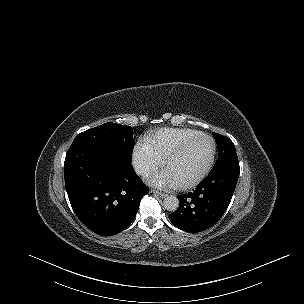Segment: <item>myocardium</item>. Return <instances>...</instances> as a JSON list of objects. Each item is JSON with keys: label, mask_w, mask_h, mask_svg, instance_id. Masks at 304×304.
<instances>
[{"label": "myocardium", "mask_w": 304, "mask_h": 304, "mask_svg": "<svg viewBox=\"0 0 304 304\" xmlns=\"http://www.w3.org/2000/svg\"><path fill=\"white\" fill-rule=\"evenodd\" d=\"M202 139H208L211 141L212 143V152H211V156L207 162V164L205 165V167L203 168V170L192 180L185 182V183H180L177 184V188L179 189H188V188H192L196 185H198L205 177L206 175L209 173V171L212 168V165L214 163L215 160V155H216V142L214 140L213 137H211L210 135L207 134H200L184 143H182L181 145H179L176 149H174L165 159L164 164H163V169L164 172H167L168 166L169 164L175 159L177 158L180 154H182L187 148H189L191 145L195 144L196 142L202 140Z\"/></svg>", "instance_id": "myocardium-1"}]
</instances>
